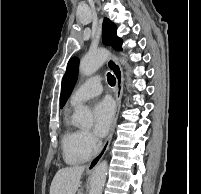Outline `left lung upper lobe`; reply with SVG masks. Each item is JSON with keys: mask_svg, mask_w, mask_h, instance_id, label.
<instances>
[{"mask_svg": "<svg viewBox=\"0 0 201 194\" xmlns=\"http://www.w3.org/2000/svg\"><path fill=\"white\" fill-rule=\"evenodd\" d=\"M117 27L111 22L108 18L103 20V31H102V39L105 45H111L115 50H122V40L116 35ZM78 66L79 59L74 57L69 60L66 72L63 76L62 86H61V103L60 108H62L68 97L70 96L74 85L76 83V79L78 76Z\"/></svg>", "mask_w": 201, "mask_h": 194, "instance_id": "1", "label": "left lung upper lobe"}]
</instances>
